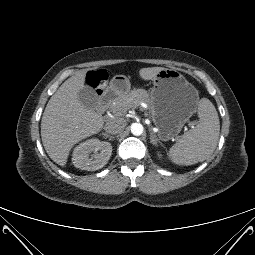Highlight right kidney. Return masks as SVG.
Here are the masks:
<instances>
[{
	"label": "right kidney",
	"mask_w": 255,
	"mask_h": 255,
	"mask_svg": "<svg viewBox=\"0 0 255 255\" xmlns=\"http://www.w3.org/2000/svg\"><path fill=\"white\" fill-rule=\"evenodd\" d=\"M100 150V153H97ZM94 152V155L91 153ZM112 154L110 143L98 139L87 140L78 145L72 154V163L76 168L96 171L104 167Z\"/></svg>",
	"instance_id": "ca27d5eb"
}]
</instances>
